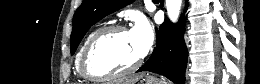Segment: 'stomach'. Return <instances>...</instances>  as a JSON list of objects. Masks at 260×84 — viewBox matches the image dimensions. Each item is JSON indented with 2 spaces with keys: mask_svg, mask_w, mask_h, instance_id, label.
I'll return each mask as SVG.
<instances>
[{
  "mask_svg": "<svg viewBox=\"0 0 260 84\" xmlns=\"http://www.w3.org/2000/svg\"><path fill=\"white\" fill-rule=\"evenodd\" d=\"M145 84H168L165 80L163 79H157L153 77H148L145 80Z\"/></svg>",
  "mask_w": 260,
  "mask_h": 84,
  "instance_id": "obj_1",
  "label": "stomach"
}]
</instances>
